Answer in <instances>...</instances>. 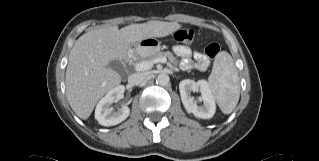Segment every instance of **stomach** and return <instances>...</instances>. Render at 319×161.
Wrapping results in <instances>:
<instances>
[{
    "label": "stomach",
    "mask_w": 319,
    "mask_h": 161,
    "mask_svg": "<svg viewBox=\"0 0 319 161\" xmlns=\"http://www.w3.org/2000/svg\"><path fill=\"white\" fill-rule=\"evenodd\" d=\"M160 47V42L154 37L145 38L135 45L136 53L142 58L151 57L158 53Z\"/></svg>",
    "instance_id": "obj_1"
}]
</instances>
